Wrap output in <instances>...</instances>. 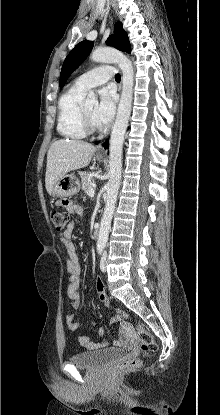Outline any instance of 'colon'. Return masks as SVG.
<instances>
[{"label":"colon","instance_id":"5ec220e1","mask_svg":"<svg viewBox=\"0 0 220 415\" xmlns=\"http://www.w3.org/2000/svg\"><path fill=\"white\" fill-rule=\"evenodd\" d=\"M52 223L57 231H62L67 225L69 215L64 211H54L51 214ZM98 293V292H97ZM99 300L106 306L111 307L110 298L105 292L98 293ZM117 315L124 317L125 319L133 320L136 323L137 338L141 344L142 350L147 354H153L157 350V345L153 339V336L144 329L137 321L133 318L130 312L122 309H115ZM141 361L138 358L125 359L117 365V370H132L140 366Z\"/></svg>","mask_w":220,"mask_h":415}]
</instances>
